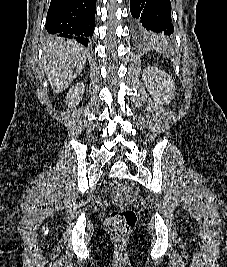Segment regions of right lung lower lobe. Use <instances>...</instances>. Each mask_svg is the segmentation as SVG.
<instances>
[{"instance_id": "98d812e1", "label": "right lung lower lobe", "mask_w": 227, "mask_h": 267, "mask_svg": "<svg viewBox=\"0 0 227 267\" xmlns=\"http://www.w3.org/2000/svg\"><path fill=\"white\" fill-rule=\"evenodd\" d=\"M96 0H51L46 29L88 46L94 32Z\"/></svg>"}]
</instances>
